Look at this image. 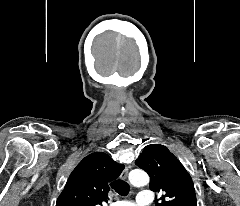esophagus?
I'll return each instance as SVG.
<instances>
[{"instance_id": "esophagus-1", "label": "esophagus", "mask_w": 240, "mask_h": 206, "mask_svg": "<svg viewBox=\"0 0 240 206\" xmlns=\"http://www.w3.org/2000/svg\"><path fill=\"white\" fill-rule=\"evenodd\" d=\"M129 168L125 167L121 174V179L126 180L128 177Z\"/></svg>"}]
</instances>
